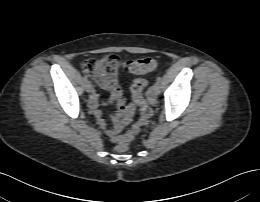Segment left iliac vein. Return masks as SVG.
I'll return each mask as SVG.
<instances>
[{
  "label": "left iliac vein",
  "mask_w": 260,
  "mask_h": 202,
  "mask_svg": "<svg viewBox=\"0 0 260 202\" xmlns=\"http://www.w3.org/2000/svg\"><path fill=\"white\" fill-rule=\"evenodd\" d=\"M151 95H158L160 93V84L154 83L150 90Z\"/></svg>",
  "instance_id": "4c4485c4"
}]
</instances>
